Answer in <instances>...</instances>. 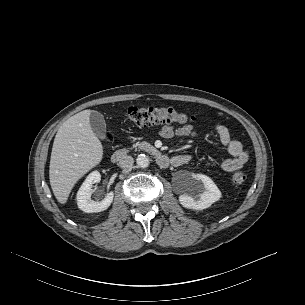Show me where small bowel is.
Instances as JSON below:
<instances>
[{"label":"small bowel","mask_w":305,"mask_h":305,"mask_svg":"<svg viewBox=\"0 0 305 305\" xmlns=\"http://www.w3.org/2000/svg\"><path fill=\"white\" fill-rule=\"evenodd\" d=\"M218 135L220 143L227 149L232 156L221 163L222 170L226 172H234L241 169L249 159V154L243 145L233 140L230 136L229 130L222 124H217L214 127ZM159 135L165 139L174 137H197L198 133L192 125H183L176 127L172 124H165L159 130ZM193 159L190 154H181L172 157V164L174 166H182L189 163Z\"/></svg>","instance_id":"c3829d8e"}]
</instances>
